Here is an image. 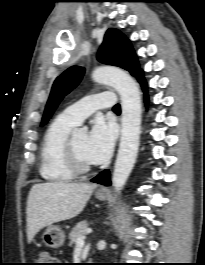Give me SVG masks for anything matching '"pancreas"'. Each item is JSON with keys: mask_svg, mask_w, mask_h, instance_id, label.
Instances as JSON below:
<instances>
[{"mask_svg": "<svg viewBox=\"0 0 205 265\" xmlns=\"http://www.w3.org/2000/svg\"><path fill=\"white\" fill-rule=\"evenodd\" d=\"M88 229V222L87 221H81L79 222L69 233V239H70V246L74 243H76L77 238L84 236L86 234V231Z\"/></svg>", "mask_w": 205, "mask_h": 265, "instance_id": "1", "label": "pancreas"}]
</instances>
